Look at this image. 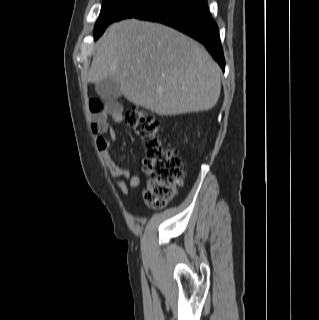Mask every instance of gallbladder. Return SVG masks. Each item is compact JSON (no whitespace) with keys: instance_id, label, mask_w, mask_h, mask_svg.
<instances>
[{"instance_id":"bac80fb5","label":"gallbladder","mask_w":319,"mask_h":320,"mask_svg":"<svg viewBox=\"0 0 319 320\" xmlns=\"http://www.w3.org/2000/svg\"><path fill=\"white\" fill-rule=\"evenodd\" d=\"M95 89L99 96L106 101L116 100L122 95L119 84L111 77L105 78L101 82L96 83Z\"/></svg>"}]
</instances>
